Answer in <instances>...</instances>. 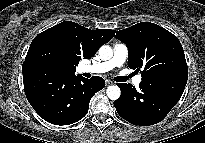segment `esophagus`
I'll use <instances>...</instances> for the list:
<instances>
[{"label":"esophagus","instance_id":"obj_1","mask_svg":"<svg viewBox=\"0 0 205 143\" xmlns=\"http://www.w3.org/2000/svg\"><path fill=\"white\" fill-rule=\"evenodd\" d=\"M105 84H106V86H109V85H112V84H113V82H112V81H110V80H106V81H105Z\"/></svg>","mask_w":205,"mask_h":143}]
</instances>
